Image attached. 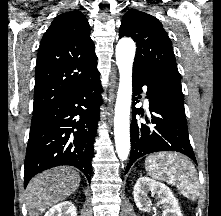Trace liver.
I'll return each mask as SVG.
<instances>
[{"label": "liver", "mask_w": 221, "mask_h": 216, "mask_svg": "<svg viewBox=\"0 0 221 216\" xmlns=\"http://www.w3.org/2000/svg\"><path fill=\"white\" fill-rule=\"evenodd\" d=\"M79 184V174L70 167H57L36 175L26 189L29 216H40L74 193Z\"/></svg>", "instance_id": "obj_1"}]
</instances>
